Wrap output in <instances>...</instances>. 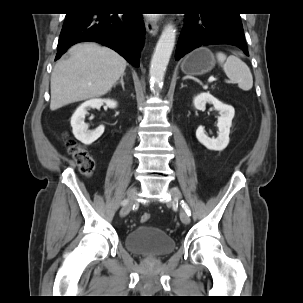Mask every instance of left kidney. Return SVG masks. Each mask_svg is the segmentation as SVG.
<instances>
[{"label":"left kidney","instance_id":"5707ae66","mask_svg":"<svg viewBox=\"0 0 303 303\" xmlns=\"http://www.w3.org/2000/svg\"><path fill=\"white\" fill-rule=\"evenodd\" d=\"M206 103L213 104L214 108L219 111L218 117V137L210 138L205 134L202 126L196 130V137L207 149L214 151H222L229 144L230 127L235 110L231 105H227L216 99L210 93H200L193 99L195 109L201 110L205 107Z\"/></svg>","mask_w":303,"mask_h":303}]
</instances>
